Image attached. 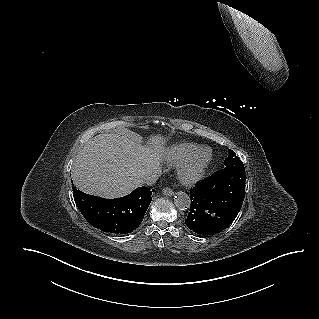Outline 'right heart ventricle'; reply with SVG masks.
Segmentation results:
<instances>
[{
    "instance_id": "1",
    "label": "right heart ventricle",
    "mask_w": 319,
    "mask_h": 319,
    "mask_svg": "<svg viewBox=\"0 0 319 319\" xmlns=\"http://www.w3.org/2000/svg\"><path fill=\"white\" fill-rule=\"evenodd\" d=\"M199 145L194 143H180L171 147L167 152V160L171 165H179L189 159L197 150Z\"/></svg>"
}]
</instances>
